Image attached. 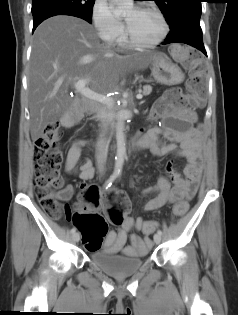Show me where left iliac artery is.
<instances>
[{
	"instance_id": "obj_1",
	"label": "left iliac artery",
	"mask_w": 238,
	"mask_h": 315,
	"mask_svg": "<svg viewBox=\"0 0 238 315\" xmlns=\"http://www.w3.org/2000/svg\"><path fill=\"white\" fill-rule=\"evenodd\" d=\"M157 233H158L159 235H162V231H161L160 229L157 231Z\"/></svg>"
}]
</instances>
